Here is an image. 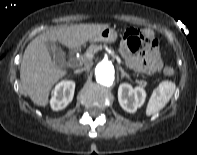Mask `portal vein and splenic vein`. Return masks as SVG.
I'll return each instance as SVG.
<instances>
[{
    "label": "portal vein and splenic vein",
    "instance_id": "obj_1",
    "mask_svg": "<svg viewBox=\"0 0 197 155\" xmlns=\"http://www.w3.org/2000/svg\"><path fill=\"white\" fill-rule=\"evenodd\" d=\"M113 56H114V58L117 60V62H118L119 64L122 63V61H121V59L119 58L118 55H116V54L113 53Z\"/></svg>",
    "mask_w": 197,
    "mask_h": 155
}]
</instances>
